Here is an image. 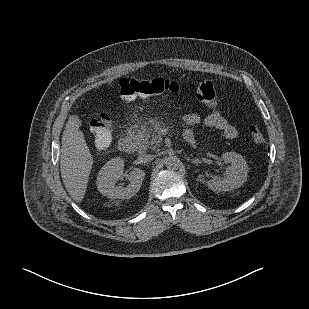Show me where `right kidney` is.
<instances>
[{
	"mask_svg": "<svg viewBox=\"0 0 309 309\" xmlns=\"http://www.w3.org/2000/svg\"><path fill=\"white\" fill-rule=\"evenodd\" d=\"M124 160L115 157L101 168L97 176L98 191L112 199H130L140 190L145 177V172L140 168H133L125 177L130 183L126 187L118 186V180L124 178Z\"/></svg>",
	"mask_w": 309,
	"mask_h": 309,
	"instance_id": "1",
	"label": "right kidney"
}]
</instances>
